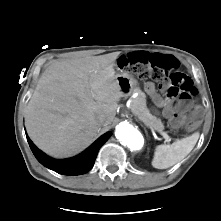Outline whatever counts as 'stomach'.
Instances as JSON below:
<instances>
[{"label":"stomach","instance_id":"stomach-1","mask_svg":"<svg viewBox=\"0 0 221 221\" xmlns=\"http://www.w3.org/2000/svg\"><path fill=\"white\" fill-rule=\"evenodd\" d=\"M116 81L125 95L138 89V81L126 71L120 70L116 74Z\"/></svg>","mask_w":221,"mask_h":221}]
</instances>
